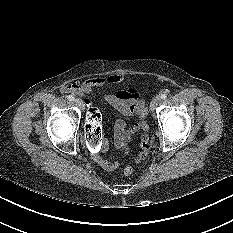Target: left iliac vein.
Here are the masks:
<instances>
[{"mask_svg":"<svg viewBox=\"0 0 233 233\" xmlns=\"http://www.w3.org/2000/svg\"><path fill=\"white\" fill-rule=\"evenodd\" d=\"M160 101H161L160 96H155L150 103V110L154 111L158 106V104L160 103Z\"/></svg>","mask_w":233,"mask_h":233,"instance_id":"1","label":"left iliac vein"}]
</instances>
